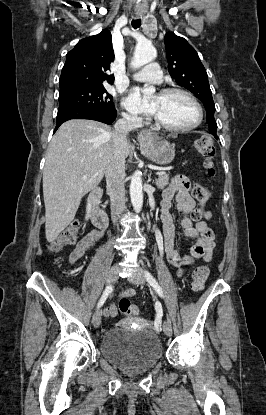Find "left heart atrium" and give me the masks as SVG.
Returning <instances> with one entry per match:
<instances>
[{"label":"left heart atrium","instance_id":"left-heart-atrium-1","mask_svg":"<svg viewBox=\"0 0 266 415\" xmlns=\"http://www.w3.org/2000/svg\"><path fill=\"white\" fill-rule=\"evenodd\" d=\"M124 104L132 111H144L152 114H155L157 111V105L155 102L151 104L143 103L141 93L138 89H134L130 93Z\"/></svg>","mask_w":266,"mask_h":415}]
</instances>
